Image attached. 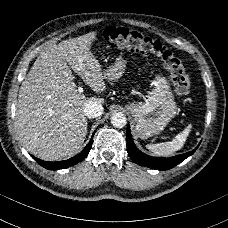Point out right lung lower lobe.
Returning <instances> with one entry per match:
<instances>
[{"label":"right lung lower lobe","instance_id":"right-lung-lower-lobe-1","mask_svg":"<svg viewBox=\"0 0 228 228\" xmlns=\"http://www.w3.org/2000/svg\"><path fill=\"white\" fill-rule=\"evenodd\" d=\"M94 136V133L93 135ZM92 142L93 139L91 138L90 142L87 144V146L82 150L81 153H79L78 155L65 160V161H59V162H46L40 159H37L35 157H33L42 167L49 169V170H58V169H64V168H68L71 167L79 162H81L84 158H86V156L88 155L91 146H92Z\"/></svg>","mask_w":228,"mask_h":228}]
</instances>
